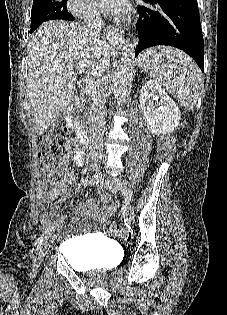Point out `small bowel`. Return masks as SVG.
<instances>
[{"label": "small bowel", "mask_w": 227, "mask_h": 315, "mask_svg": "<svg viewBox=\"0 0 227 315\" xmlns=\"http://www.w3.org/2000/svg\"><path fill=\"white\" fill-rule=\"evenodd\" d=\"M69 154L72 156L73 163L76 167H82L84 164L83 150L81 147L74 146L70 149ZM64 156L58 162V176L50 183L49 189L46 188L44 183L36 184V194L39 203L43 207L42 220L45 224L60 222L61 208L58 204L52 203L60 195L70 196L71 191L68 186L73 182L74 176L68 169L69 159ZM116 207L114 204H107L100 207L94 200H87L75 206V213L77 215H87L92 218H97L99 221L104 222L114 216Z\"/></svg>", "instance_id": "1"}]
</instances>
